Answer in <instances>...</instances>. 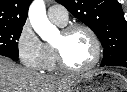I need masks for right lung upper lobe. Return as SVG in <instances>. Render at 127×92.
<instances>
[{"label":"right lung upper lobe","mask_w":127,"mask_h":92,"mask_svg":"<svg viewBox=\"0 0 127 92\" xmlns=\"http://www.w3.org/2000/svg\"><path fill=\"white\" fill-rule=\"evenodd\" d=\"M32 0H0V26H23Z\"/></svg>","instance_id":"obj_1"}]
</instances>
